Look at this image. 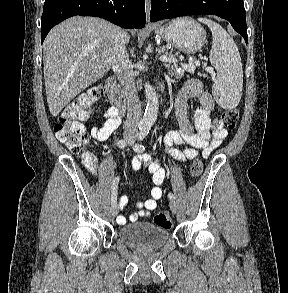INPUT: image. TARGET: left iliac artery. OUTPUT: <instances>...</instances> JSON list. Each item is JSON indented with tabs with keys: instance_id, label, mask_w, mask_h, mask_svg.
I'll use <instances>...</instances> for the list:
<instances>
[{
	"instance_id": "44dca946",
	"label": "left iliac artery",
	"mask_w": 288,
	"mask_h": 293,
	"mask_svg": "<svg viewBox=\"0 0 288 293\" xmlns=\"http://www.w3.org/2000/svg\"><path fill=\"white\" fill-rule=\"evenodd\" d=\"M147 134H148V130H145V129L141 130V132L139 133V136H138L139 141H142L147 136ZM134 150L136 152H143L145 150V147L141 143H137L134 146ZM168 197L170 200L175 199V196L173 193H169Z\"/></svg>"
}]
</instances>
